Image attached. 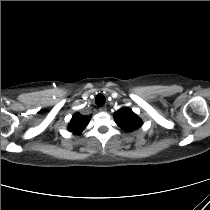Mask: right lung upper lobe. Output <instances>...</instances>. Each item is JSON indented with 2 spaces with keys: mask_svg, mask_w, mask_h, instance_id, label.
Masks as SVG:
<instances>
[{
  "mask_svg": "<svg viewBox=\"0 0 210 210\" xmlns=\"http://www.w3.org/2000/svg\"><path fill=\"white\" fill-rule=\"evenodd\" d=\"M89 120L90 117L82 116L81 114L76 113L75 115H73L68 129L74 134H80L87 126Z\"/></svg>",
  "mask_w": 210,
  "mask_h": 210,
  "instance_id": "obj_1",
  "label": "right lung upper lobe"
}]
</instances>
